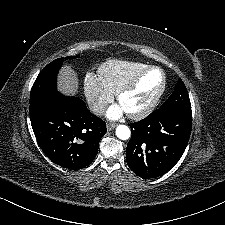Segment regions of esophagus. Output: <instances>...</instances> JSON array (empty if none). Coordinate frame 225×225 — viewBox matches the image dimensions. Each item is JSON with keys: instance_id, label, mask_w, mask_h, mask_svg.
Masks as SVG:
<instances>
[{"instance_id": "1", "label": "esophagus", "mask_w": 225, "mask_h": 225, "mask_svg": "<svg viewBox=\"0 0 225 225\" xmlns=\"http://www.w3.org/2000/svg\"><path fill=\"white\" fill-rule=\"evenodd\" d=\"M116 127V123H108L107 124V130L111 131Z\"/></svg>"}]
</instances>
